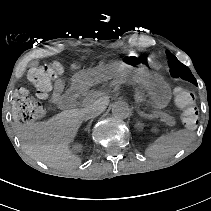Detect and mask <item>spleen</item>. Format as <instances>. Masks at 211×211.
I'll list each match as a JSON object with an SVG mask.
<instances>
[{
    "label": "spleen",
    "instance_id": "spleen-1",
    "mask_svg": "<svg viewBox=\"0 0 211 211\" xmlns=\"http://www.w3.org/2000/svg\"><path fill=\"white\" fill-rule=\"evenodd\" d=\"M194 138V131L189 129L163 134L147 146L144 154L152 159L167 158L180 151L183 147L190 145Z\"/></svg>",
    "mask_w": 211,
    "mask_h": 211
}]
</instances>
